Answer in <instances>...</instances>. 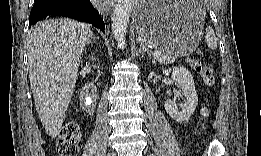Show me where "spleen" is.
I'll use <instances>...</instances> for the list:
<instances>
[{
  "label": "spleen",
  "instance_id": "1",
  "mask_svg": "<svg viewBox=\"0 0 261 156\" xmlns=\"http://www.w3.org/2000/svg\"><path fill=\"white\" fill-rule=\"evenodd\" d=\"M205 41H206L208 47L211 50L216 49V47H217V38H216V35H215V33H214V31H213V29L211 27H207L206 28Z\"/></svg>",
  "mask_w": 261,
  "mask_h": 156
}]
</instances>
